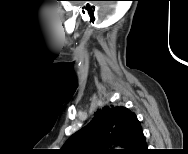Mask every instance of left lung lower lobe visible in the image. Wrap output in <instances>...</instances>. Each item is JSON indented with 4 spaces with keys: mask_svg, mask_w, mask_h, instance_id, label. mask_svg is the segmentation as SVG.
<instances>
[{
    "mask_svg": "<svg viewBox=\"0 0 188 154\" xmlns=\"http://www.w3.org/2000/svg\"><path fill=\"white\" fill-rule=\"evenodd\" d=\"M124 148L123 151L126 154H139L147 150L145 137L136 115H133L131 118Z\"/></svg>",
    "mask_w": 188,
    "mask_h": 154,
    "instance_id": "left-lung-lower-lobe-1",
    "label": "left lung lower lobe"
}]
</instances>
